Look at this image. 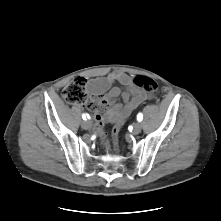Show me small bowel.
Returning a JSON list of instances; mask_svg holds the SVG:
<instances>
[{"instance_id": "small-bowel-1", "label": "small bowel", "mask_w": 221, "mask_h": 221, "mask_svg": "<svg viewBox=\"0 0 221 221\" xmlns=\"http://www.w3.org/2000/svg\"><path fill=\"white\" fill-rule=\"evenodd\" d=\"M135 77L122 71H113L105 77L86 80L92 96L90 109L97 126L104 121L123 124L136 107L153 97V94L135 85ZM115 82L120 83L124 90L112 86ZM119 96L123 103L116 102Z\"/></svg>"}]
</instances>
